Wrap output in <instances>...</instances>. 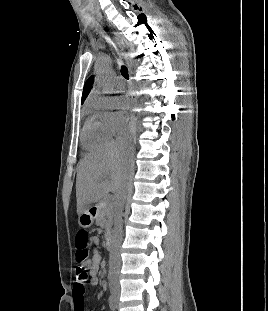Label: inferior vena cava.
I'll list each match as a JSON object with an SVG mask.
<instances>
[{"instance_id": "inferior-vena-cava-1", "label": "inferior vena cava", "mask_w": 268, "mask_h": 311, "mask_svg": "<svg viewBox=\"0 0 268 311\" xmlns=\"http://www.w3.org/2000/svg\"><path fill=\"white\" fill-rule=\"evenodd\" d=\"M121 148L123 152H131V147H126L127 143H123V140H120ZM131 170L130 160H127V180L124 187L117 193V201H118V210L114 216V228H113V248L110 252L109 264H110V285L119 288L118 283V275H119V267H120V254L119 248L122 243V209L124 206V201L126 198V194L129 188L128 182V173Z\"/></svg>"}]
</instances>
